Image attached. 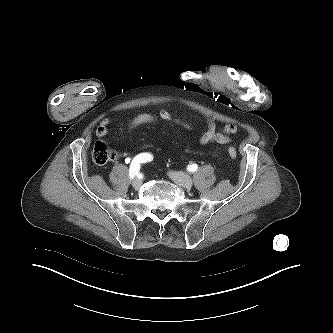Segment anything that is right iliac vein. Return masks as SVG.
I'll list each match as a JSON object with an SVG mask.
<instances>
[{
	"label": "right iliac vein",
	"instance_id": "1",
	"mask_svg": "<svg viewBox=\"0 0 333 333\" xmlns=\"http://www.w3.org/2000/svg\"><path fill=\"white\" fill-rule=\"evenodd\" d=\"M132 185L135 189H139L142 185V180L140 178H135L132 182Z\"/></svg>",
	"mask_w": 333,
	"mask_h": 333
}]
</instances>
